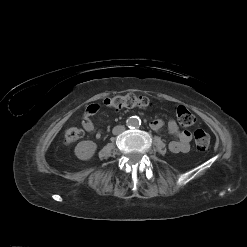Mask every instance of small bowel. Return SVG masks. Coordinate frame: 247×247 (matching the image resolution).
I'll list each match as a JSON object with an SVG mask.
<instances>
[{
    "label": "small bowel",
    "instance_id": "c3829d8e",
    "mask_svg": "<svg viewBox=\"0 0 247 247\" xmlns=\"http://www.w3.org/2000/svg\"><path fill=\"white\" fill-rule=\"evenodd\" d=\"M99 110L97 104H91L87 107L83 120L82 126L84 130L88 133L95 134L97 138L101 136V133L97 130L91 117L96 114ZM164 121L162 119H155L150 123V127L154 131H159L163 128ZM167 128L170 134L176 137L169 143V150L173 153H186L190 150V142L192 139V134L188 130H180L177 123L174 120H169L167 123Z\"/></svg>",
    "mask_w": 247,
    "mask_h": 247
}]
</instances>
